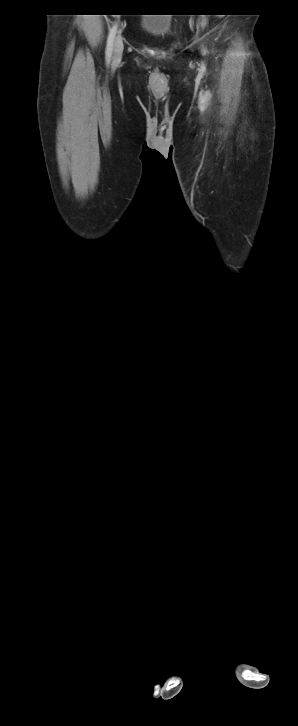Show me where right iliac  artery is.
<instances>
[{
    "mask_svg": "<svg viewBox=\"0 0 298 726\" xmlns=\"http://www.w3.org/2000/svg\"><path fill=\"white\" fill-rule=\"evenodd\" d=\"M116 31H117V26L114 25L111 28V30L109 32V35H108L107 46H106V61L108 63L111 60L112 50H113V42H114V39H115Z\"/></svg>",
    "mask_w": 298,
    "mask_h": 726,
    "instance_id": "82829eb1",
    "label": "right iliac artery"
}]
</instances>
